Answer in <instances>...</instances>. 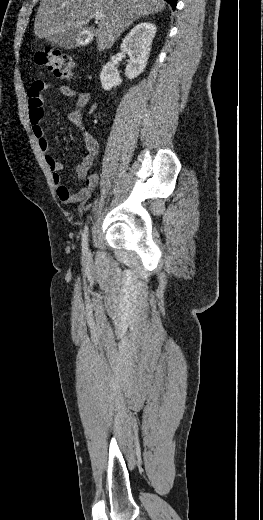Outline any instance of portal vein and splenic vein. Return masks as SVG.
Masks as SVG:
<instances>
[{"mask_svg": "<svg viewBox=\"0 0 263 520\" xmlns=\"http://www.w3.org/2000/svg\"><path fill=\"white\" fill-rule=\"evenodd\" d=\"M103 17H104V14L102 12H98L97 11V12L94 13V18L96 20H101Z\"/></svg>", "mask_w": 263, "mask_h": 520, "instance_id": "1", "label": "portal vein and splenic vein"}]
</instances>
